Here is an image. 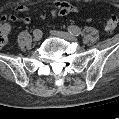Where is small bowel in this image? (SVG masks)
<instances>
[{
    "instance_id": "1",
    "label": "small bowel",
    "mask_w": 119,
    "mask_h": 119,
    "mask_svg": "<svg viewBox=\"0 0 119 119\" xmlns=\"http://www.w3.org/2000/svg\"><path fill=\"white\" fill-rule=\"evenodd\" d=\"M52 14L53 16H62V15H66L72 12H76L77 8L65 1H53L52 2ZM30 9V6L27 4H19L16 7V12L18 13H23L26 12ZM2 20L4 21V23L2 24L8 31V33H10L11 27L8 23V21H18L21 22L23 24H29L30 23V18L26 17V16H16V15H4L2 16Z\"/></svg>"
}]
</instances>
